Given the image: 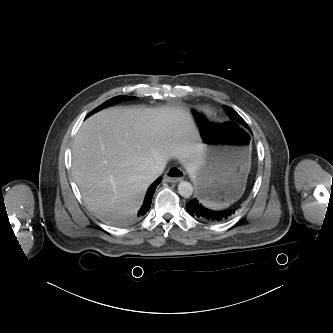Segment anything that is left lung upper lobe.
<instances>
[{"mask_svg":"<svg viewBox=\"0 0 333 333\" xmlns=\"http://www.w3.org/2000/svg\"><path fill=\"white\" fill-rule=\"evenodd\" d=\"M224 109H225L226 113L228 114V116L230 117V119L232 120V122L234 123V125H238L243 129H245V128L249 129L246 122L241 118V116L234 109H232L228 106H224Z\"/></svg>","mask_w":333,"mask_h":333,"instance_id":"5c2ea615","label":"left lung upper lobe"}]
</instances>
